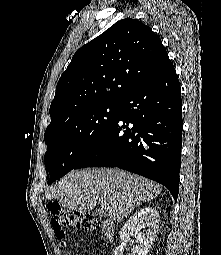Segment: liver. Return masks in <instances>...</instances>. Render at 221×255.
I'll return each instance as SVG.
<instances>
[{"instance_id":"6515ba94","label":"liver","mask_w":221,"mask_h":255,"mask_svg":"<svg viewBox=\"0 0 221 255\" xmlns=\"http://www.w3.org/2000/svg\"><path fill=\"white\" fill-rule=\"evenodd\" d=\"M161 186L147 178L119 169L72 171L45 192L69 210L85 213L97 203L113 220H122L143 202L156 198Z\"/></svg>"}]
</instances>
